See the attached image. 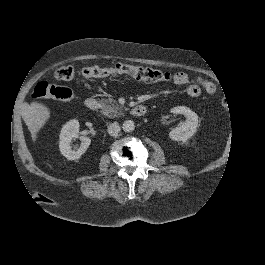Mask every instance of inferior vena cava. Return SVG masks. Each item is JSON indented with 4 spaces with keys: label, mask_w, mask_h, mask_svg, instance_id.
I'll return each mask as SVG.
<instances>
[{
    "label": "inferior vena cava",
    "mask_w": 265,
    "mask_h": 265,
    "mask_svg": "<svg viewBox=\"0 0 265 265\" xmlns=\"http://www.w3.org/2000/svg\"><path fill=\"white\" fill-rule=\"evenodd\" d=\"M119 132H120V126L117 122L109 124L108 133L111 136H117Z\"/></svg>",
    "instance_id": "602c4592"
}]
</instances>
